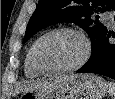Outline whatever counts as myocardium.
Masks as SVG:
<instances>
[{"label": "myocardium", "instance_id": "obj_1", "mask_svg": "<svg viewBox=\"0 0 115 99\" xmlns=\"http://www.w3.org/2000/svg\"><path fill=\"white\" fill-rule=\"evenodd\" d=\"M59 33H70L80 38L84 46L83 54L76 63L70 66L61 67V68H47L39 60V56H38L39 45L46 38ZM90 55H91V44L87 36L82 31L71 27H60V28L52 29L44 33L42 36H40L32 45L33 64L36 67V69L44 75H56V74L75 71L81 68L88 61Z\"/></svg>", "mask_w": 115, "mask_h": 99}]
</instances>
